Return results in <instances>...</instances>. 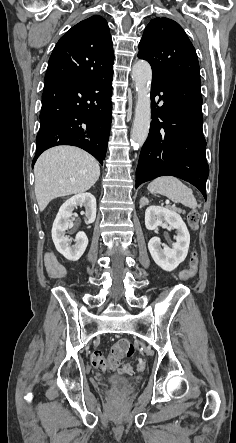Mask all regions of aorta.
I'll return each instance as SVG.
<instances>
[{
  "label": "aorta",
  "mask_w": 236,
  "mask_h": 443,
  "mask_svg": "<svg viewBox=\"0 0 236 443\" xmlns=\"http://www.w3.org/2000/svg\"><path fill=\"white\" fill-rule=\"evenodd\" d=\"M132 77L135 83L137 102L130 140L134 147H141L146 141L151 122L152 70L150 64L145 60L135 62L132 66Z\"/></svg>",
  "instance_id": "762f6f07"
}]
</instances>
